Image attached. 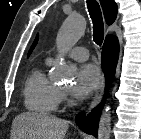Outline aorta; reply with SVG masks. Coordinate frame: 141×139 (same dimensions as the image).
<instances>
[{
    "mask_svg": "<svg viewBox=\"0 0 141 139\" xmlns=\"http://www.w3.org/2000/svg\"><path fill=\"white\" fill-rule=\"evenodd\" d=\"M86 29L85 19L76 13L69 15L57 34V45L60 50H66L74 46L84 35ZM74 72L66 65H58L57 77L59 79H71ZM111 133V112L110 107L105 105L99 120L98 139H110Z\"/></svg>",
    "mask_w": 141,
    "mask_h": 139,
    "instance_id": "762f6f07",
    "label": "aorta"
}]
</instances>
